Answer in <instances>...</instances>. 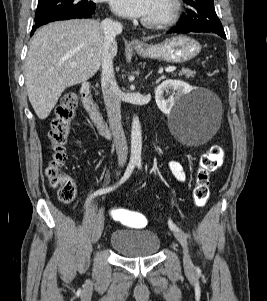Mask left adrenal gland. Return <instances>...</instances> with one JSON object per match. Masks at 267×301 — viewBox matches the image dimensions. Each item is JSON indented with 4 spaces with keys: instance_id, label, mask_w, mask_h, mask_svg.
Returning <instances> with one entry per match:
<instances>
[{
    "instance_id": "left-adrenal-gland-1",
    "label": "left adrenal gland",
    "mask_w": 267,
    "mask_h": 301,
    "mask_svg": "<svg viewBox=\"0 0 267 301\" xmlns=\"http://www.w3.org/2000/svg\"><path fill=\"white\" fill-rule=\"evenodd\" d=\"M150 74H151V72H150V73H148V75L146 76V78H147V77H149V76H150Z\"/></svg>"
}]
</instances>
